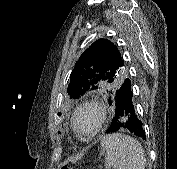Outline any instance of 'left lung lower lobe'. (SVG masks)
<instances>
[{
    "label": "left lung lower lobe",
    "mask_w": 177,
    "mask_h": 169,
    "mask_svg": "<svg viewBox=\"0 0 177 169\" xmlns=\"http://www.w3.org/2000/svg\"><path fill=\"white\" fill-rule=\"evenodd\" d=\"M109 103H114L116 109L115 118L106 133L116 132L119 129L124 128L145 139L143 124L136 114L134 103L132 101L131 82L129 78L124 79L122 84L114 92L113 96L109 97ZM122 116L126 119L123 122L118 121Z\"/></svg>",
    "instance_id": "0a47b994"
}]
</instances>
